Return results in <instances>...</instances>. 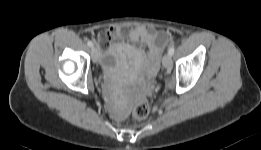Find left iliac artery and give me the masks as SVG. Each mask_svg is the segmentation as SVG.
<instances>
[{"mask_svg":"<svg viewBox=\"0 0 261 150\" xmlns=\"http://www.w3.org/2000/svg\"><path fill=\"white\" fill-rule=\"evenodd\" d=\"M174 51H175L174 46H171V47L169 48V50H168V54L172 56V55L174 54Z\"/></svg>","mask_w":261,"mask_h":150,"instance_id":"1","label":"left iliac artery"}]
</instances>
